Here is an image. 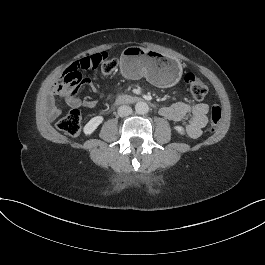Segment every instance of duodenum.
<instances>
[{"label":"duodenum","mask_w":265,"mask_h":265,"mask_svg":"<svg viewBox=\"0 0 265 265\" xmlns=\"http://www.w3.org/2000/svg\"><path fill=\"white\" fill-rule=\"evenodd\" d=\"M140 99L136 98V97H130V96H123V97H119L116 102L118 104H122V103H134V102H139Z\"/></svg>","instance_id":"410a0bca"}]
</instances>
